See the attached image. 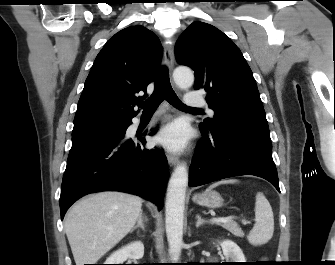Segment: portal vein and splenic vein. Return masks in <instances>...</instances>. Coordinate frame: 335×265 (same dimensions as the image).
Listing matches in <instances>:
<instances>
[{"instance_id": "obj_1", "label": "portal vein and splenic vein", "mask_w": 335, "mask_h": 265, "mask_svg": "<svg viewBox=\"0 0 335 265\" xmlns=\"http://www.w3.org/2000/svg\"><path fill=\"white\" fill-rule=\"evenodd\" d=\"M232 217L230 218H227V217H220V218H214L213 221L214 222H221V223H226L228 222L229 220H231ZM244 223H247L245 220H243Z\"/></svg>"}]
</instances>
